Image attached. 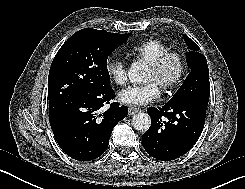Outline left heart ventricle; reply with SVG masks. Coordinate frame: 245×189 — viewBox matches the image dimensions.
<instances>
[{"label": "left heart ventricle", "mask_w": 245, "mask_h": 189, "mask_svg": "<svg viewBox=\"0 0 245 189\" xmlns=\"http://www.w3.org/2000/svg\"><path fill=\"white\" fill-rule=\"evenodd\" d=\"M177 71L178 65L176 62H170L160 74L153 73L148 67L144 80L146 82L153 81L159 86V88H161L165 82L169 81L176 75Z\"/></svg>", "instance_id": "b2bd125f"}]
</instances>
